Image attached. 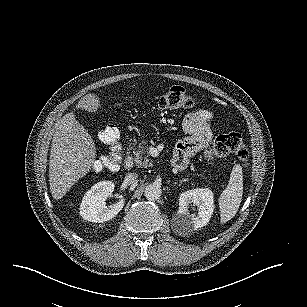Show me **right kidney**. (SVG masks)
I'll use <instances>...</instances> for the list:
<instances>
[{"label": "right kidney", "mask_w": 307, "mask_h": 307, "mask_svg": "<svg viewBox=\"0 0 307 307\" xmlns=\"http://www.w3.org/2000/svg\"><path fill=\"white\" fill-rule=\"evenodd\" d=\"M114 188L112 181H100L94 184L82 198L79 207L80 216L94 223H103L113 219L125 204V200L121 198L115 204L106 206L105 200L112 195Z\"/></svg>", "instance_id": "ca27d5eb"}]
</instances>
